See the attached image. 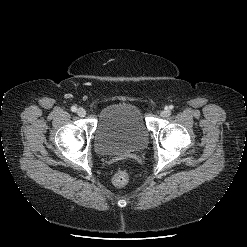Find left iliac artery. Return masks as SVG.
<instances>
[{"mask_svg": "<svg viewBox=\"0 0 247 247\" xmlns=\"http://www.w3.org/2000/svg\"><path fill=\"white\" fill-rule=\"evenodd\" d=\"M169 109H173V106L171 105V106H169Z\"/></svg>", "mask_w": 247, "mask_h": 247, "instance_id": "1", "label": "left iliac artery"}]
</instances>
